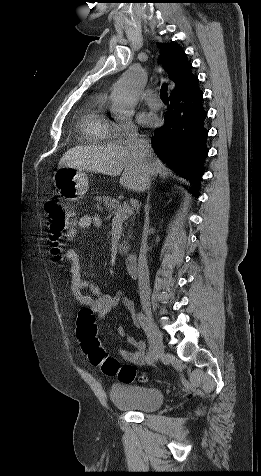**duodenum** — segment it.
<instances>
[{
    "label": "duodenum",
    "mask_w": 261,
    "mask_h": 476,
    "mask_svg": "<svg viewBox=\"0 0 261 476\" xmlns=\"http://www.w3.org/2000/svg\"><path fill=\"white\" fill-rule=\"evenodd\" d=\"M126 270L132 278H136L139 273V259L137 254H129L125 259Z\"/></svg>",
    "instance_id": "1"
}]
</instances>
